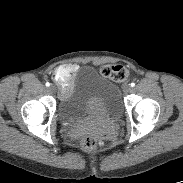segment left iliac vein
Listing matches in <instances>:
<instances>
[{
	"instance_id": "4c4485c4",
	"label": "left iliac vein",
	"mask_w": 183,
	"mask_h": 183,
	"mask_svg": "<svg viewBox=\"0 0 183 183\" xmlns=\"http://www.w3.org/2000/svg\"><path fill=\"white\" fill-rule=\"evenodd\" d=\"M131 90H132V88L130 85H128V84L124 85V87H123L124 93H129V92H131Z\"/></svg>"
}]
</instances>
